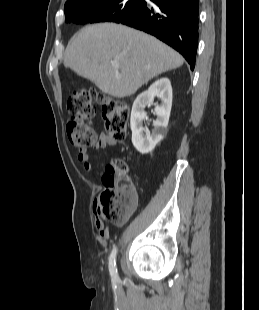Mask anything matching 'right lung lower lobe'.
<instances>
[{
  "instance_id": "98d812e1",
  "label": "right lung lower lobe",
  "mask_w": 259,
  "mask_h": 310,
  "mask_svg": "<svg viewBox=\"0 0 259 310\" xmlns=\"http://www.w3.org/2000/svg\"><path fill=\"white\" fill-rule=\"evenodd\" d=\"M119 23L156 36L183 55L191 70L198 46L199 0H151Z\"/></svg>"
}]
</instances>
